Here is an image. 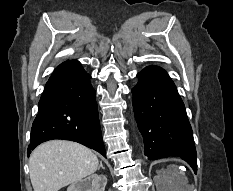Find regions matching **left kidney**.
Masks as SVG:
<instances>
[{
  "mask_svg": "<svg viewBox=\"0 0 233 191\" xmlns=\"http://www.w3.org/2000/svg\"><path fill=\"white\" fill-rule=\"evenodd\" d=\"M170 178H171V182H170L171 190L170 191H181L180 188L182 186V182L176 181V178L174 175H170Z\"/></svg>",
  "mask_w": 233,
  "mask_h": 191,
  "instance_id": "left-kidney-1",
  "label": "left kidney"
}]
</instances>
